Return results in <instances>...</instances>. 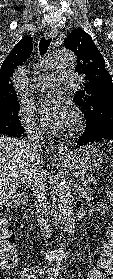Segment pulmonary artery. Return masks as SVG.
<instances>
[{
  "label": "pulmonary artery",
  "instance_id": "e3ab8cb5",
  "mask_svg": "<svg viewBox=\"0 0 113 279\" xmlns=\"http://www.w3.org/2000/svg\"><path fill=\"white\" fill-rule=\"evenodd\" d=\"M61 82L71 84L70 76L68 74H60L57 76L43 78L39 80L38 87L41 90H52L56 89Z\"/></svg>",
  "mask_w": 113,
  "mask_h": 279
}]
</instances>
